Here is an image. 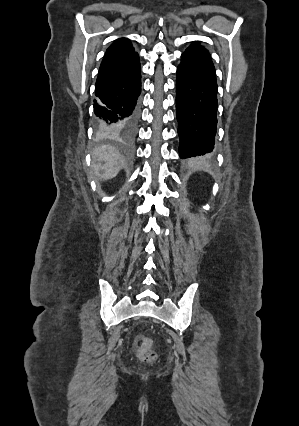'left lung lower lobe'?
Instances as JSON below:
<instances>
[{"label":"left lung lower lobe","instance_id":"left-lung-lower-lobe-1","mask_svg":"<svg viewBox=\"0 0 299 426\" xmlns=\"http://www.w3.org/2000/svg\"><path fill=\"white\" fill-rule=\"evenodd\" d=\"M176 80V116L182 159L208 156L217 127V82L210 54L186 50Z\"/></svg>","mask_w":299,"mask_h":426}]
</instances>
